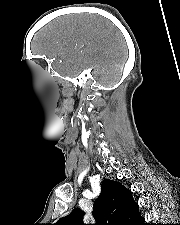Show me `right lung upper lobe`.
Instances as JSON below:
<instances>
[{"mask_svg": "<svg viewBox=\"0 0 180 225\" xmlns=\"http://www.w3.org/2000/svg\"><path fill=\"white\" fill-rule=\"evenodd\" d=\"M131 194V191L120 183L104 180L100 196L93 205L95 225H137L142 216ZM83 215L84 212L76 209L60 218L54 225H85L81 220Z\"/></svg>", "mask_w": 180, "mask_h": 225, "instance_id": "obj_1", "label": "right lung upper lobe"}]
</instances>
